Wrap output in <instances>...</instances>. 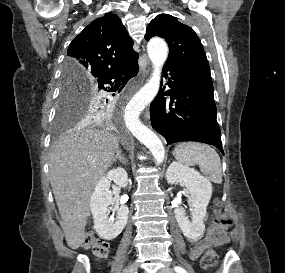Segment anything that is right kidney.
<instances>
[{"label": "right kidney", "instance_id": "right-kidney-1", "mask_svg": "<svg viewBox=\"0 0 285 273\" xmlns=\"http://www.w3.org/2000/svg\"><path fill=\"white\" fill-rule=\"evenodd\" d=\"M113 181L117 186L123 187L128 183V176L124 169L116 168L110 170L95 185L94 192L90 198V210L94 219V229L103 239H115L125 228L128 221L129 209L126 205L119 207L110 191V183ZM114 205L116 218H109V206Z\"/></svg>", "mask_w": 285, "mask_h": 273}]
</instances>
